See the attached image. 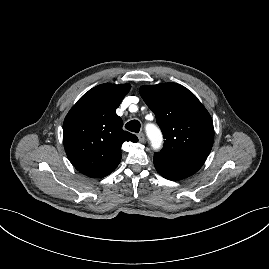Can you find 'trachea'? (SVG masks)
<instances>
[{
	"label": "trachea",
	"mask_w": 269,
	"mask_h": 269,
	"mask_svg": "<svg viewBox=\"0 0 269 269\" xmlns=\"http://www.w3.org/2000/svg\"><path fill=\"white\" fill-rule=\"evenodd\" d=\"M140 122L138 120H131L126 123L125 128L131 132L139 133L140 131Z\"/></svg>",
	"instance_id": "obj_1"
}]
</instances>
